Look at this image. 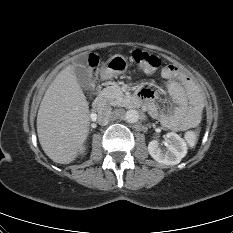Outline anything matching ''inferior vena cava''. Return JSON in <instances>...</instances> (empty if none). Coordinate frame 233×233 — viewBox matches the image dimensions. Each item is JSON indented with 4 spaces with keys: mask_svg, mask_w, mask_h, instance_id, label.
Masks as SVG:
<instances>
[{
    "mask_svg": "<svg viewBox=\"0 0 233 233\" xmlns=\"http://www.w3.org/2000/svg\"><path fill=\"white\" fill-rule=\"evenodd\" d=\"M111 118H115L110 106H104L98 110L97 121L100 125H107Z\"/></svg>",
    "mask_w": 233,
    "mask_h": 233,
    "instance_id": "inferior-vena-cava-1",
    "label": "inferior vena cava"
}]
</instances>
